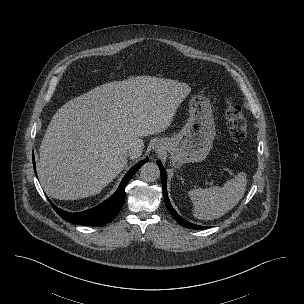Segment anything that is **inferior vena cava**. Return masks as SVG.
<instances>
[{"label":"inferior vena cava","mask_w":304,"mask_h":304,"mask_svg":"<svg viewBox=\"0 0 304 304\" xmlns=\"http://www.w3.org/2000/svg\"><path fill=\"white\" fill-rule=\"evenodd\" d=\"M139 154V149L136 147H128L126 150L127 157L133 158Z\"/></svg>","instance_id":"602c4592"}]
</instances>
